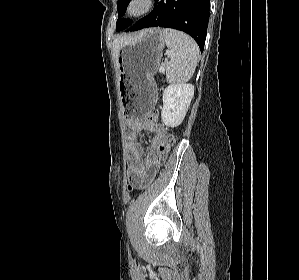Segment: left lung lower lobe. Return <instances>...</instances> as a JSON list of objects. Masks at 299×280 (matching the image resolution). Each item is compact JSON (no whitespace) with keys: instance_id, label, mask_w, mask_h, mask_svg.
I'll use <instances>...</instances> for the list:
<instances>
[{"instance_id":"0a47b994","label":"left lung lower lobe","mask_w":299,"mask_h":280,"mask_svg":"<svg viewBox=\"0 0 299 280\" xmlns=\"http://www.w3.org/2000/svg\"><path fill=\"white\" fill-rule=\"evenodd\" d=\"M209 11L210 0H156L154 10L127 31L155 26L178 29L192 36L203 51Z\"/></svg>"}]
</instances>
